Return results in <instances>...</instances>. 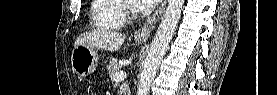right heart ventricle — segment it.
Masks as SVG:
<instances>
[{"instance_id": "right-heart-ventricle-1", "label": "right heart ventricle", "mask_w": 277, "mask_h": 95, "mask_svg": "<svg viewBox=\"0 0 277 95\" xmlns=\"http://www.w3.org/2000/svg\"><path fill=\"white\" fill-rule=\"evenodd\" d=\"M120 0H92L90 24L98 30H115L120 28L125 17L119 10Z\"/></svg>"}]
</instances>
